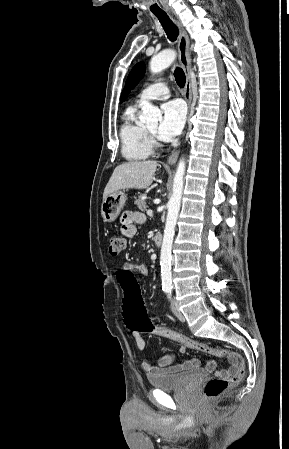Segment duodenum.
<instances>
[{
    "instance_id": "duodenum-1",
    "label": "duodenum",
    "mask_w": 289,
    "mask_h": 449,
    "mask_svg": "<svg viewBox=\"0 0 289 449\" xmlns=\"http://www.w3.org/2000/svg\"><path fill=\"white\" fill-rule=\"evenodd\" d=\"M154 242H155V245H156L157 247H161L162 244H163V238H162V235L159 234V233H157V234L155 235V237H154Z\"/></svg>"
}]
</instances>
